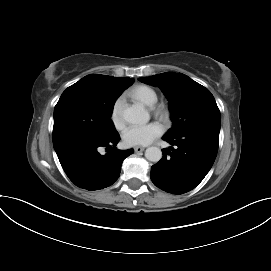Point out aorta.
<instances>
[{
  "label": "aorta",
  "instance_id": "762f6f07",
  "mask_svg": "<svg viewBox=\"0 0 271 271\" xmlns=\"http://www.w3.org/2000/svg\"><path fill=\"white\" fill-rule=\"evenodd\" d=\"M123 119L131 124H144L149 121L150 115L142 105L135 104L123 110ZM145 157L151 162H159L162 158V151L155 146L148 147Z\"/></svg>",
  "mask_w": 271,
  "mask_h": 271
}]
</instances>
